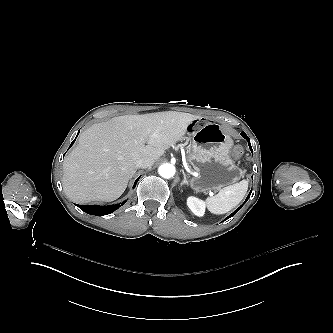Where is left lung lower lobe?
Listing matches in <instances>:
<instances>
[{
  "instance_id": "left-lung-lower-lobe-1",
  "label": "left lung lower lobe",
  "mask_w": 333,
  "mask_h": 333,
  "mask_svg": "<svg viewBox=\"0 0 333 333\" xmlns=\"http://www.w3.org/2000/svg\"><path fill=\"white\" fill-rule=\"evenodd\" d=\"M241 135H242V136L248 141L249 147H250V149H251V151H252L251 144H250V140H249V138L247 137V135H246L245 133H241ZM252 152H253V151H252ZM251 192H252V190H251ZM251 192L249 193V195H248L247 199L245 200V202L249 199ZM245 202H244V203H245ZM244 203H243V204H242L237 210H235L232 214H230L225 220H227V219H229L230 217L234 216V215L238 212V210L244 205Z\"/></svg>"
}]
</instances>
